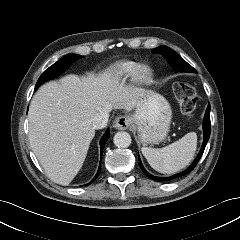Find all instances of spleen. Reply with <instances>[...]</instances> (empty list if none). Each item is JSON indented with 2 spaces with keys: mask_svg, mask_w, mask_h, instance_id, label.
I'll use <instances>...</instances> for the list:
<instances>
[{
  "mask_svg": "<svg viewBox=\"0 0 240 240\" xmlns=\"http://www.w3.org/2000/svg\"><path fill=\"white\" fill-rule=\"evenodd\" d=\"M196 148L197 135L190 132L163 148L142 147L141 151L154 170L163 174H174L191 162Z\"/></svg>",
  "mask_w": 240,
  "mask_h": 240,
  "instance_id": "1",
  "label": "spleen"
}]
</instances>
